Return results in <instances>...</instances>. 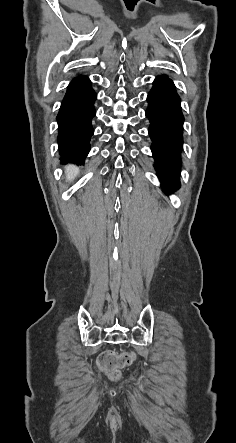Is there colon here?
<instances>
[{
  "mask_svg": "<svg viewBox=\"0 0 236 443\" xmlns=\"http://www.w3.org/2000/svg\"><path fill=\"white\" fill-rule=\"evenodd\" d=\"M133 352H125L117 355L113 352H105L100 355L98 364L102 370L109 373L113 378L119 376V369L131 365L135 361Z\"/></svg>",
  "mask_w": 236,
  "mask_h": 443,
  "instance_id": "5ec220e1",
  "label": "colon"
}]
</instances>
